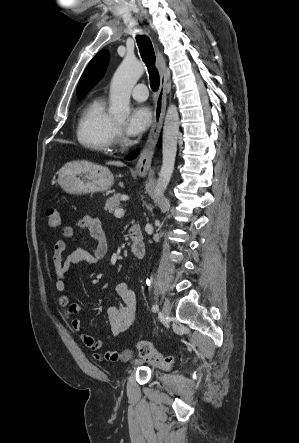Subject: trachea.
<instances>
[{"mask_svg": "<svg viewBox=\"0 0 299 443\" xmlns=\"http://www.w3.org/2000/svg\"><path fill=\"white\" fill-rule=\"evenodd\" d=\"M136 40L142 60L146 64L149 72L150 87L153 91H157L160 84V77L155 67L156 57L152 42L146 35H137Z\"/></svg>", "mask_w": 299, "mask_h": 443, "instance_id": "1", "label": "trachea"}]
</instances>
